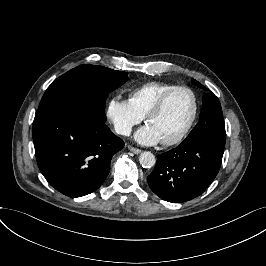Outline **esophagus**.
<instances>
[{"label":"esophagus","instance_id":"esophagus-1","mask_svg":"<svg viewBox=\"0 0 266 266\" xmlns=\"http://www.w3.org/2000/svg\"><path fill=\"white\" fill-rule=\"evenodd\" d=\"M128 148H129V150L132 151L134 154H139V153L141 152L140 149L135 148V147L130 146V145H128Z\"/></svg>","mask_w":266,"mask_h":266}]
</instances>
